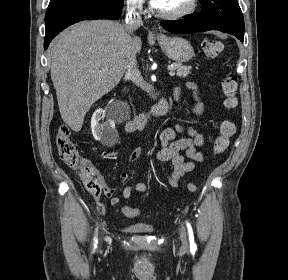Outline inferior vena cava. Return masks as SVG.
I'll return each mask as SVG.
<instances>
[{
  "mask_svg": "<svg viewBox=\"0 0 288 280\" xmlns=\"http://www.w3.org/2000/svg\"><path fill=\"white\" fill-rule=\"evenodd\" d=\"M139 8H140V5L138 4L129 5L127 7L126 23L124 26H125L127 33L130 36L138 27L142 25V19H141L140 13L138 12ZM125 75L127 78L131 79L133 83H135L137 86H141L142 90L150 89L149 90L150 94L155 93L154 86L145 85V82L143 81L141 73L137 67L135 52H132L128 56V63H127ZM158 100H159V97L155 96L154 99H150V104H157Z\"/></svg>",
  "mask_w": 288,
  "mask_h": 280,
  "instance_id": "obj_1",
  "label": "inferior vena cava"
}]
</instances>
